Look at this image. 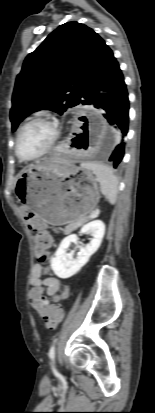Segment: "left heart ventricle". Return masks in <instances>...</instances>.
Listing matches in <instances>:
<instances>
[{"label": "left heart ventricle", "mask_w": 155, "mask_h": 413, "mask_svg": "<svg viewBox=\"0 0 155 413\" xmlns=\"http://www.w3.org/2000/svg\"><path fill=\"white\" fill-rule=\"evenodd\" d=\"M54 135L53 126L45 121H36L28 125L22 132L20 152L31 157L42 152L51 142Z\"/></svg>", "instance_id": "obj_1"}]
</instances>
